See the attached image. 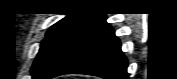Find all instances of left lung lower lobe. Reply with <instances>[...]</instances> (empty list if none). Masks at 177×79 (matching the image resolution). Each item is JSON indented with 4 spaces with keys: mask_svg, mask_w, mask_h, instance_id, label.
<instances>
[{
    "mask_svg": "<svg viewBox=\"0 0 177 79\" xmlns=\"http://www.w3.org/2000/svg\"><path fill=\"white\" fill-rule=\"evenodd\" d=\"M127 60L120 41L105 19L69 51L51 78L63 74H88L105 79H128Z\"/></svg>",
    "mask_w": 177,
    "mask_h": 79,
    "instance_id": "1",
    "label": "left lung lower lobe"
}]
</instances>
